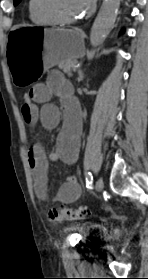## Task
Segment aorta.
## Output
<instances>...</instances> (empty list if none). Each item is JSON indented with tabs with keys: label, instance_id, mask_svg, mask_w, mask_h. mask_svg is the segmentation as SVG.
<instances>
[{
	"label": "aorta",
	"instance_id": "aorta-1",
	"mask_svg": "<svg viewBox=\"0 0 148 279\" xmlns=\"http://www.w3.org/2000/svg\"><path fill=\"white\" fill-rule=\"evenodd\" d=\"M121 0H103L90 32L93 47L102 44L112 30Z\"/></svg>",
	"mask_w": 148,
	"mask_h": 279
}]
</instances>
